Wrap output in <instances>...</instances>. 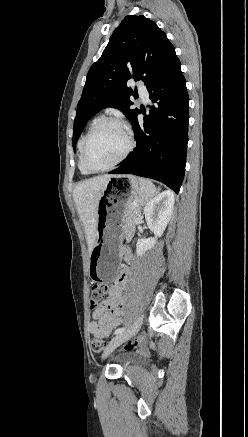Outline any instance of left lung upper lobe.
I'll return each mask as SVG.
<instances>
[{"instance_id":"1","label":"left lung upper lobe","mask_w":248,"mask_h":437,"mask_svg":"<svg viewBox=\"0 0 248 437\" xmlns=\"http://www.w3.org/2000/svg\"><path fill=\"white\" fill-rule=\"evenodd\" d=\"M175 48L154 21L129 15L114 30L101 57L88 71L74 121L75 147L86 122L106 107L121 110L133 123V91L127 81L142 80L148 88L176 59Z\"/></svg>"}]
</instances>
